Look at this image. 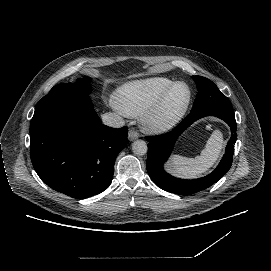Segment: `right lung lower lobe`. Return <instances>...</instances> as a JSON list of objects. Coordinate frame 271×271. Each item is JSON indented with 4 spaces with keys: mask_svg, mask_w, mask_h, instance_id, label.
<instances>
[{
    "mask_svg": "<svg viewBox=\"0 0 271 271\" xmlns=\"http://www.w3.org/2000/svg\"><path fill=\"white\" fill-rule=\"evenodd\" d=\"M127 127L102 125L91 100H65L35 110L30 155L35 171L52 189L84 199L110 185Z\"/></svg>",
    "mask_w": 271,
    "mask_h": 271,
    "instance_id": "right-lung-lower-lobe-1",
    "label": "right lung lower lobe"
}]
</instances>
